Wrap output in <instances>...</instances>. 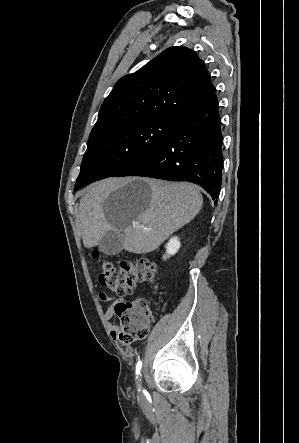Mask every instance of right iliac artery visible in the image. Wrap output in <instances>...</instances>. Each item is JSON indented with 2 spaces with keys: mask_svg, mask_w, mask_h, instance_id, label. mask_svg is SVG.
<instances>
[{
  "mask_svg": "<svg viewBox=\"0 0 299 443\" xmlns=\"http://www.w3.org/2000/svg\"><path fill=\"white\" fill-rule=\"evenodd\" d=\"M141 368H142V362L138 361L137 364H136V375H137V378L140 375Z\"/></svg>",
  "mask_w": 299,
  "mask_h": 443,
  "instance_id": "obj_1",
  "label": "right iliac artery"
}]
</instances>
